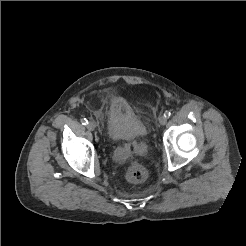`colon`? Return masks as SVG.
<instances>
[{"instance_id": "obj_1", "label": "colon", "mask_w": 246, "mask_h": 246, "mask_svg": "<svg viewBox=\"0 0 246 246\" xmlns=\"http://www.w3.org/2000/svg\"><path fill=\"white\" fill-rule=\"evenodd\" d=\"M126 178L131 183H140L147 178V170L139 163L130 166L126 173Z\"/></svg>"}]
</instances>
